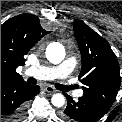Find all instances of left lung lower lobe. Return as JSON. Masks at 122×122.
Returning <instances> with one entry per match:
<instances>
[{
    "mask_svg": "<svg viewBox=\"0 0 122 122\" xmlns=\"http://www.w3.org/2000/svg\"><path fill=\"white\" fill-rule=\"evenodd\" d=\"M65 96L67 107L61 112V117L66 122H95L111 107L90 97L83 96L78 101H74L67 94Z\"/></svg>",
    "mask_w": 122,
    "mask_h": 122,
    "instance_id": "obj_1",
    "label": "left lung lower lobe"
}]
</instances>
